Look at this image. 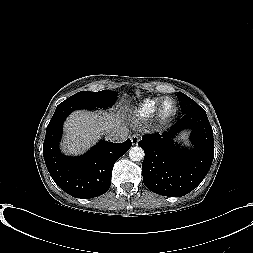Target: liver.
<instances>
[{"instance_id":"liver-1","label":"liver","mask_w":253,"mask_h":253,"mask_svg":"<svg viewBox=\"0 0 253 253\" xmlns=\"http://www.w3.org/2000/svg\"><path fill=\"white\" fill-rule=\"evenodd\" d=\"M124 126L121 117L89 111L73 112L64 124L65 136L61 149L65 154L85 152L107 131Z\"/></svg>"}]
</instances>
